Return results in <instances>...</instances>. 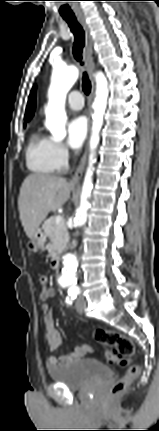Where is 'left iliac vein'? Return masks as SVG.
<instances>
[{
  "label": "left iliac vein",
  "mask_w": 159,
  "mask_h": 431,
  "mask_svg": "<svg viewBox=\"0 0 159 431\" xmlns=\"http://www.w3.org/2000/svg\"><path fill=\"white\" fill-rule=\"evenodd\" d=\"M76 308L80 314H83L86 308V301L84 297L79 296L76 300Z\"/></svg>",
  "instance_id": "left-iliac-vein-1"
}]
</instances>
